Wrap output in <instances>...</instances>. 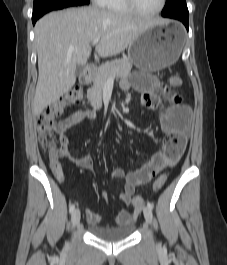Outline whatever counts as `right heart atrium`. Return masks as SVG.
Here are the masks:
<instances>
[{"label":"right heart atrium","mask_w":227,"mask_h":265,"mask_svg":"<svg viewBox=\"0 0 227 265\" xmlns=\"http://www.w3.org/2000/svg\"><path fill=\"white\" fill-rule=\"evenodd\" d=\"M94 1H96L98 3L100 0H94Z\"/></svg>","instance_id":"right-heart-atrium-1"}]
</instances>
